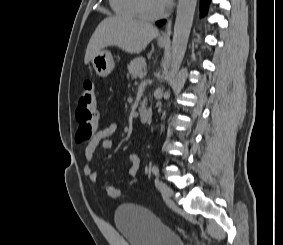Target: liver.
Returning <instances> with one entry per match:
<instances>
[{"label": "liver", "mask_w": 283, "mask_h": 245, "mask_svg": "<svg viewBox=\"0 0 283 245\" xmlns=\"http://www.w3.org/2000/svg\"><path fill=\"white\" fill-rule=\"evenodd\" d=\"M158 33V29L150 23L126 17L106 18L98 25L88 43L84 63L88 64L96 54L109 46L139 54Z\"/></svg>", "instance_id": "6515ba94"}]
</instances>
